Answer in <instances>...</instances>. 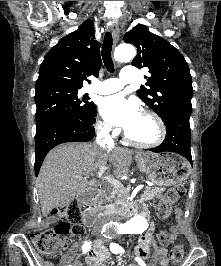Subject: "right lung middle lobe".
Segmentation results:
<instances>
[{"label": "right lung middle lobe", "instance_id": "dd1d6c3e", "mask_svg": "<svg viewBox=\"0 0 221 266\" xmlns=\"http://www.w3.org/2000/svg\"><path fill=\"white\" fill-rule=\"evenodd\" d=\"M36 131L60 119L92 122L96 116V106L85 94H78L79 88L53 86L36 88Z\"/></svg>", "mask_w": 221, "mask_h": 266}]
</instances>
